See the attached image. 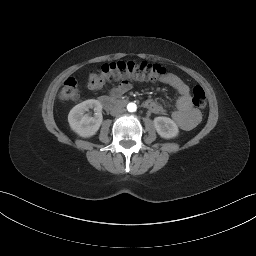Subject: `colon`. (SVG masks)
Wrapping results in <instances>:
<instances>
[{
  "mask_svg": "<svg viewBox=\"0 0 256 256\" xmlns=\"http://www.w3.org/2000/svg\"><path fill=\"white\" fill-rule=\"evenodd\" d=\"M167 75V70L159 64L145 61H114L104 64L100 71L90 72L88 84L91 89H99L102 85L113 79L132 78L139 80H158ZM79 82L77 77L65 80L60 91L63 101H76L79 98ZM192 104L203 109L207 105L206 94L202 87L195 86L192 91Z\"/></svg>",
  "mask_w": 256,
  "mask_h": 256,
  "instance_id": "obj_1",
  "label": "colon"
}]
</instances>
